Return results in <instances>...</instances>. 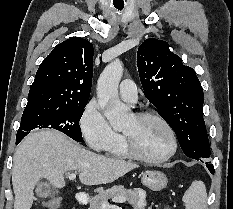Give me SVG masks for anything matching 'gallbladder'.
<instances>
[{"label":"gallbladder","mask_w":233,"mask_h":209,"mask_svg":"<svg viewBox=\"0 0 233 209\" xmlns=\"http://www.w3.org/2000/svg\"><path fill=\"white\" fill-rule=\"evenodd\" d=\"M36 194L41 198H46L58 194V190L54 189L46 183L40 182L37 184Z\"/></svg>","instance_id":"obj_1"}]
</instances>
